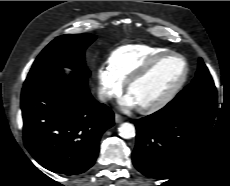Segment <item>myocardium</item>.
Returning <instances> with one entry per match:
<instances>
[{
	"instance_id": "f54148a6",
	"label": "myocardium",
	"mask_w": 230,
	"mask_h": 186,
	"mask_svg": "<svg viewBox=\"0 0 230 186\" xmlns=\"http://www.w3.org/2000/svg\"><path fill=\"white\" fill-rule=\"evenodd\" d=\"M175 56L181 59L184 63V72L178 82L159 100L156 102L138 107L139 111L144 114H151L154 112L159 111L160 109L164 108L167 104H169L173 98L177 95V93L182 89L184 84L186 83L188 76H189V63L186 58L174 51H166L160 54H157L150 58L145 64H143L136 72H134L125 82V90L126 92L129 91L130 87L137 82L138 80L145 77L153 68L154 66L163 60L166 57Z\"/></svg>"
}]
</instances>
